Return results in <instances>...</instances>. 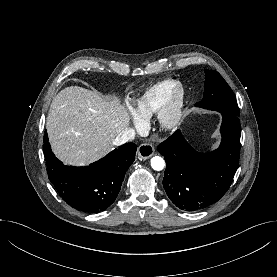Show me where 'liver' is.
I'll list each match as a JSON object with an SVG mask.
<instances>
[{
	"instance_id": "1",
	"label": "liver",
	"mask_w": 277,
	"mask_h": 277,
	"mask_svg": "<svg viewBox=\"0 0 277 277\" xmlns=\"http://www.w3.org/2000/svg\"><path fill=\"white\" fill-rule=\"evenodd\" d=\"M129 120L117 99L106 100L96 92L71 86L54 97L46 129L52 150L60 160L84 166L113 149L114 140L127 128Z\"/></svg>"
}]
</instances>
